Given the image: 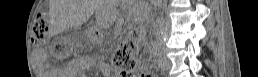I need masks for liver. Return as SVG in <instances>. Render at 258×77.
I'll use <instances>...</instances> for the list:
<instances>
[{
  "label": "liver",
  "mask_w": 258,
  "mask_h": 77,
  "mask_svg": "<svg viewBox=\"0 0 258 77\" xmlns=\"http://www.w3.org/2000/svg\"><path fill=\"white\" fill-rule=\"evenodd\" d=\"M60 20L71 26L76 24V1L64 0L61 1Z\"/></svg>",
  "instance_id": "6515ba94"
}]
</instances>
